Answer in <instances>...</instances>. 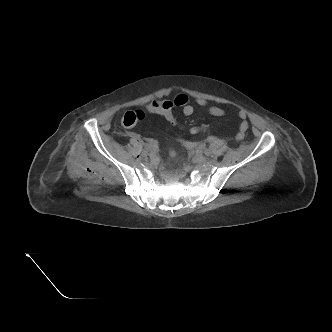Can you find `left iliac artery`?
<instances>
[{
    "label": "left iliac artery",
    "mask_w": 332,
    "mask_h": 332,
    "mask_svg": "<svg viewBox=\"0 0 332 332\" xmlns=\"http://www.w3.org/2000/svg\"><path fill=\"white\" fill-rule=\"evenodd\" d=\"M198 153L199 154H203L204 153L206 156H210L211 155L210 151L207 150V149H205V150H199Z\"/></svg>",
    "instance_id": "obj_1"
}]
</instances>
